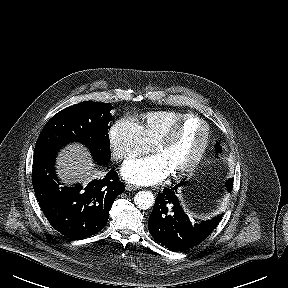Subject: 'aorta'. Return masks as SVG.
Instances as JSON below:
<instances>
[{"mask_svg": "<svg viewBox=\"0 0 288 288\" xmlns=\"http://www.w3.org/2000/svg\"><path fill=\"white\" fill-rule=\"evenodd\" d=\"M155 197L150 191H140L134 197L135 205L141 209L146 210L153 206Z\"/></svg>", "mask_w": 288, "mask_h": 288, "instance_id": "obj_1", "label": "aorta"}]
</instances>
